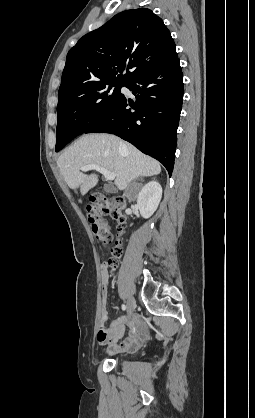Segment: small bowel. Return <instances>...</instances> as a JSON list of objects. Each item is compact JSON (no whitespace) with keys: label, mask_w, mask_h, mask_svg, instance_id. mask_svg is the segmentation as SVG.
<instances>
[{"label":"small bowel","mask_w":255,"mask_h":418,"mask_svg":"<svg viewBox=\"0 0 255 418\" xmlns=\"http://www.w3.org/2000/svg\"><path fill=\"white\" fill-rule=\"evenodd\" d=\"M102 289L103 294L107 291L108 267L105 263L101 264ZM108 319V311L103 305L101 312V321L104 324ZM125 324L128 325V331L125 330ZM147 331L142 326L138 317L118 318L109 326L102 325L97 333V341L100 345L107 347L109 354L134 350L140 347L146 338Z\"/></svg>","instance_id":"c3829d8e"}]
</instances>
